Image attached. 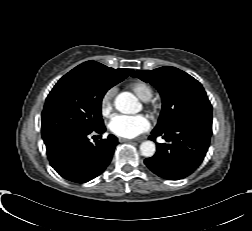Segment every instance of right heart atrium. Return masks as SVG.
<instances>
[{
    "label": "right heart atrium",
    "mask_w": 252,
    "mask_h": 231,
    "mask_svg": "<svg viewBox=\"0 0 252 231\" xmlns=\"http://www.w3.org/2000/svg\"><path fill=\"white\" fill-rule=\"evenodd\" d=\"M116 93H117L116 86H111L103 93L100 99V110L103 115H107L111 112Z\"/></svg>",
    "instance_id": "right-heart-atrium-1"
}]
</instances>
